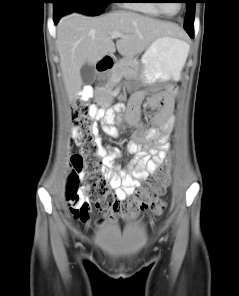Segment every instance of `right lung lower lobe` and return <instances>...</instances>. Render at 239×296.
Instances as JSON below:
<instances>
[{
	"mask_svg": "<svg viewBox=\"0 0 239 296\" xmlns=\"http://www.w3.org/2000/svg\"><path fill=\"white\" fill-rule=\"evenodd\" d=\"M54 23L57 24L58 20L60 19L61 16L65 15L63 12L59 11L57 7H54Z\"/></svg>",
	"mask_w": 239,
	"mask_h": 296,
	"instance_id": "obj_1",
	"label": "right lung lower lobe"
}]
</instances>
